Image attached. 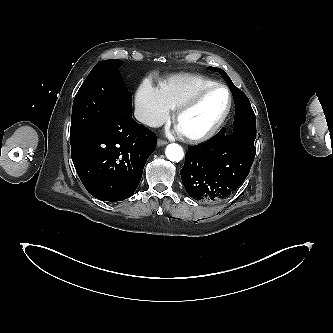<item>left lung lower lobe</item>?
Wrapping results in <instances>:
<instances>
[{
    "instance_id": "obj_1",
    "label": "left lung lower lobe",
    "mask_w": 333,
    "mask_h": 333,
    "mask_svg": "<svg viewBox=\"0 0 333 333\" xmlns=\"http://www.w3.org/2000/svg\"><path fill=\"white\" fill-rule=\"evenodd\" d=\"M255 152L253 139L236 128L230 135L222 129L210 140L189 148L180 170L187 193L205 203L226 199L247 177Z\"/></svg>"
}]
</instances>
